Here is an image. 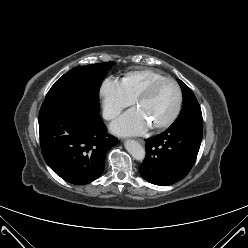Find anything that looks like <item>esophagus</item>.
<instances>
[{"instance_id":"34e87169","label":"esophagus","mask_w":248,"mask_h":248,"mask_svg":"<svg viewBox=\"0 0 248 248\" xmlns=\"http://www.w3.org/2000/svg\"><path fill=\"white\" fill-rule=\"evenodd\" d=\"M136 141H138L141 144H144V140L143 139H136Z\"/></svg>"}]
</instances>
